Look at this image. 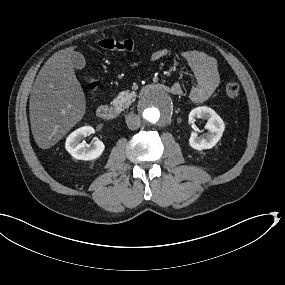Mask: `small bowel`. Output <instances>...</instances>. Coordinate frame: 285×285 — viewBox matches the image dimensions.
<instances>
[{
    "label": "small bowel",
    "instance_id": "obj_1",
    "mask_svg": "<svg viewBox=\"0 0 285 285\" xmlns=\"http://www.w3.org/2000/svg\"><path fill=\"white\" fill-rule=\"evenodd\" d=\"M170 55L167 49H157L151 54V60L160 61ZM179 57L191 69L195 84L188 91L189 98L196 103H201L209 99L220 85V76L217 61L211 55L195 49H186L179 53ZM138 62H133L132 66H137ZM172 93L181 95L185 92L181 83L171 85Z\"/></svg>",
    "mask_w": 285,
    "mask_h": 285
}]
</instances>
